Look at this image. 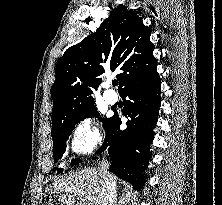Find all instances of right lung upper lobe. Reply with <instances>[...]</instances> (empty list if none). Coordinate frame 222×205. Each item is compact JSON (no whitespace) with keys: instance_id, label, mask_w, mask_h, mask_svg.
Returning <instances> with one entry per match:
<instances>
[{"instance_id":"right-lung-upper-lobe-1","label":"right lung upper lobe","mask_w":222,"mask_h":205,"mask_svg":"<svg viewBox=\"0 0 222 205\" xmlns=\"http://www.w3.org/2000/svg\"><path fill=\"white\" fill-rule=\"evenodd\" d=\"M150 35L151 29L135 11L118 6L96 33L69 47L56 65L52 122L94 105L93 90L101 83L105 68L118 72L119 91L153 70L157 61Z\"/></svg>"}]
</instances>
